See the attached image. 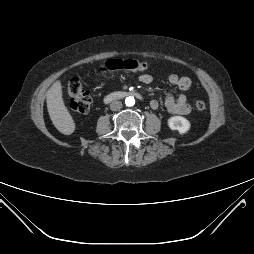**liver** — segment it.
Here are the masks:
<instances>
[{"instance_id": "6515ba94", "label": "liver", "mask_w": 254, "mask_h": 254, "mask_svg": "<svg viewBox=\"0 0 254 254\" xmlns=\"http://www.w3.org/2000/svg\"><path fill=\"white\" fill-rule=\"evenodd\" d=\"M50 119L56 129L64 135H70L75 130V122L64 104L62 85L60 81L52 84L46 97Z\"/></svg>"}]
</instances>
